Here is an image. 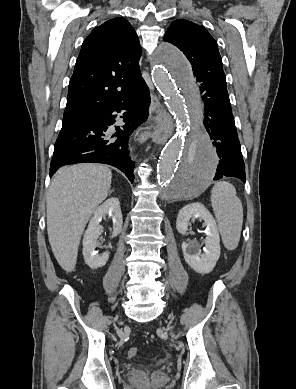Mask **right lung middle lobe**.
<instances>
[{
    "mask_svg": "<svg viewBox=\"0 0 296 389\" xmlns=\"http://www.w3.org/2000/svg\"><path fill=\"white\" fill-rule=\"evenodd\" d=\"M84 119V118H83ZM82 119H67L62 121V129L72 126L73 124L79 122Z\"/></svg>",
    "mask_w": 296,
    "mask_h": 389,
    "instance_id": "1",
    "label": "right lung middle lobe"
}]
</instances>
